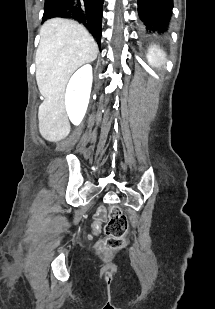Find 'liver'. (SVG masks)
<instances>
[{"label":"liver","instance_id":"1","mask_svg":"<svg viewBox=\"0 0 215 309\" xmlns=\"http://www.w3.org/2000/svg\"><path fill=\"white\" fill-rule=\"evenodd\" d=\"M98 44L83 24L68 18H49L40 28L36 50V80L45 96L39 106V130L46 140H61L70 132L64 106L66 84L73 72L95 60Z\"/></svg>","mask_w":215,"mask_h":309}]
</instances>
